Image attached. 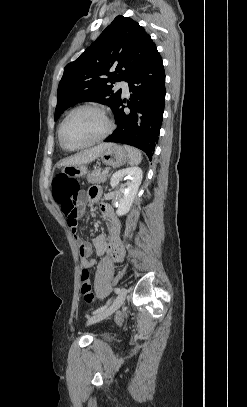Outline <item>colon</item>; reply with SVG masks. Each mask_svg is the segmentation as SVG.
<instances>
[{
	"mask_svg": "<svg viewBox=\"0 0 247 407\" xmlns=\"http://www.w3.org/2000/svg\"><path fill=\"white\" fill-rule=\"evenodd\" d=\"M53 198L57 203L65 202L79 191V182L65 174H57L52 180ZM80 292L85 301L93 302L95 296L92 292L89 269L84 268L81 273Z\"/></svg>",
	"mask_w": 247,
	"mask_h": 407,
	"instance_id": "5ec220e1",
	"label": "colon"
}]
</instances>
